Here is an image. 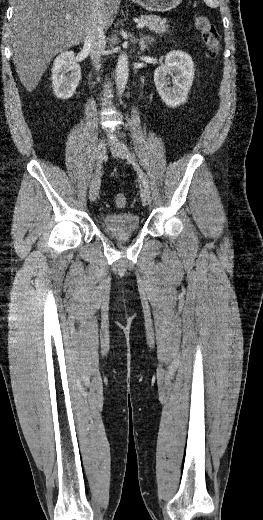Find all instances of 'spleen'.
<instances>
[{"label": "spleen", "mask_w": 263, "mask_h": 520, "mask_svg": "<svg viewBox=\"0 0 263 520\" xmlns=\"http://www.w3.org/2000/svg\"><path fill=\"white\" fill-rule=\"evenodd\" d=\"M204 2L211 8L218 7V0H204Z\"/></svg>", "instance_id": "3e777b00"}]
</instances>
